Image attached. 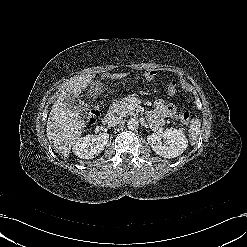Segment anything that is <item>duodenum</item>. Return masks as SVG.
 <instances>
[{
    "instance_id": "duodenum-1",
    "label": "duodenum",
    "mask_w": 247,
    "mask_h": 247,
    "mask_svg": "<svg viewBox=\"0 0 247 247\" xmlns=\"http://www.w3.org/2000/svg\"><path fill=\"white\" fill-rule=\"evenodd\" d=\"M111 118H112V113L109 112V113H107L106 116L104 117V121H103V122L106 124V123H108V122L110 121Z\"/></svg>"
}]
</instances>
